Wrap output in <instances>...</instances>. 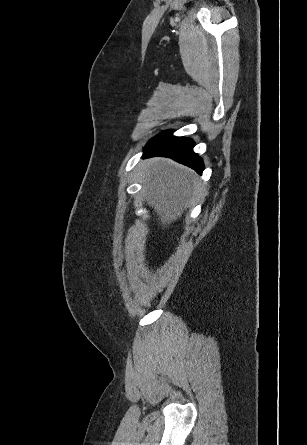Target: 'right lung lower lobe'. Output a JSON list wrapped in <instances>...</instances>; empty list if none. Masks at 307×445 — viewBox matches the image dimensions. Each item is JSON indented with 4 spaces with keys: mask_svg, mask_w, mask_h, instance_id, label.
I'll return each instance as SVG.
<instances>
[{
    "mask_svg": "<svg viewBox=\"0 0 307 445\" xmlns=\"http://www.w3.org/2000/svg\"><path fill=\"white\" fill-rule=\"evenodd\" d=\"M171 134L172 131H165L150 140L144 150L143 158L169 157L201 174L204 164L193 152L194 142L190 138L173 137Z\"/></svg>",
    "mask_w": 307,
    "mask_h": 445,
    "instance_id": "obj_1",
    "label": "right lung lower lobe"
}]
</instances>
